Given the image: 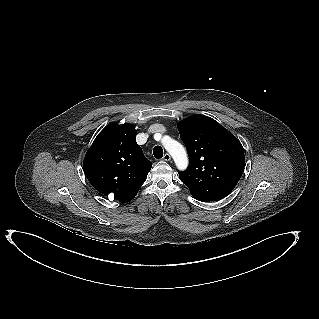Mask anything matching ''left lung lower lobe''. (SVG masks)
I'll return each instance as SVG.
<instances>
[{"mask_svg":"<svg viewBox=\"0 0 319 319\" xmlns=\"http://www.w3.org/2000/svg\"><path fill=\"white\" fill-rule=\"evenodd\" d=\"M195 199L202 201V202H208V200H205L203 198L197 197V196H193Z\"/></svg>","mask_w":319,"mask_h":319,"instance_id":"left-lung-lower-lobe-1","label":"left lung lower lobe"}]
</instances>
